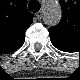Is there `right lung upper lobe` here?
Instances as JSON below:
<instances>
[{
  "mask_svg": "<svg viewBox=\"0 0 80 80\" xmlns=\"http://www.w3.org/2000/svg\"><path fill=\"white\" fill-rule=\"evenodd\" d=\"M32 16L26 2L14 1L3 10L0 15V46L11 50L21 46L25 32L32 23Z\"/></svg>",
  "mask_w": 80,
  "mask_h": 80,
  "instance_id": "obj_1",
  "label": "right lung upper lobe"
}]
</instances>
